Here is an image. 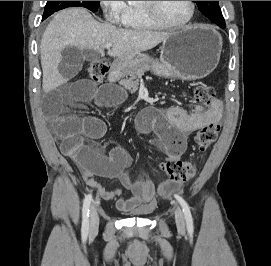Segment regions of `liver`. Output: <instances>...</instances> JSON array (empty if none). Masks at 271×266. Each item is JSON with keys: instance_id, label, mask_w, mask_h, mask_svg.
Returning a JSON list of instances; mask_svg holds the SVG:
<instances>
[{"instance_id": "6515ba94", "label": "liver", "mask_w": 271, "mask_h": 266, "mask_svg": "<svg viewBox=\"0 0 271 266\" xmlns=\"http://www.w3.org/2000/svg\"><path fill=\"white\" fill-rule=\"evenodd\" d=\"M170 34L102 24L84 8L62 10L50 21L41 40L43 91L48 93L67 81L59 72L58 65L62 60V51L68 46L103 54L104 45L111 44L112 48L108 49L107 54L123 57L150 50Z\"/></svg>"}]
</instances>
